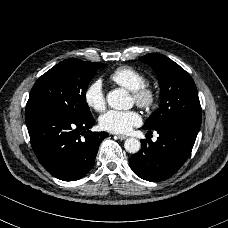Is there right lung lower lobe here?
Wrapping results in <instances>:
<instances>
[{
	"mask_svg": "<svg viewBox=\"0 0 228 228\" xmlns=\"http://www.w3.org/2000/svg\"><path fill=\"white\" fill-rule=\"evenodd\" d=\"M91 117L41 111L26 115L32 148L41 165L54 177L75 181L92 168L106 132H91ZM81 136H84L83 138Z\"/></svg>",
	"mask_w": 228,
	"mask_h": 228,
	"instance_id": "98d812e1",
	"label": "right lung lower lobe"
}]
</instances>
